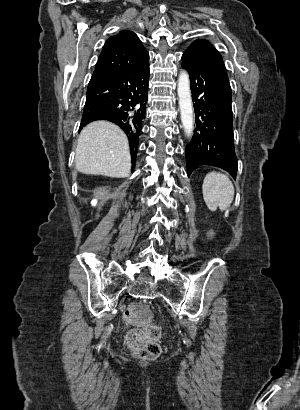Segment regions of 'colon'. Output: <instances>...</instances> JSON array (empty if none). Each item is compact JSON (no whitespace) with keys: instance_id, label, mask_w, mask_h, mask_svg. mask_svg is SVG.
I'll list each match as a JSON object with an SVG mask.
<instances>
[{"instance_id":"colon-1","label":"colon","mask_w":300,"mask_h":410,"mask_svg":"<svg viewBox=\"0 0 300 410\" xmlns=\"http://www.w3.org/2000/svg\"><path fill=\"white\" fill-rule=\"evenodd\" d=\"M125 319L130 327H135L127 335L128 347L144 360H152L159 356L160 330L152 323L149 308L145 304L135 303L125 311Z\"/></svg>"}]
</instances>
